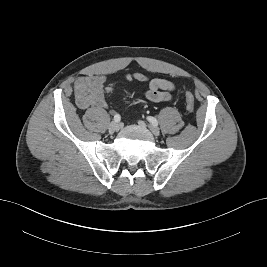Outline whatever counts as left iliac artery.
<instances>
[{
	"mask_svg": "<svg viewBox=\"0 0 267 267\" xmlns=\"http://www.w3.org/2000/svg\"><path fill=\"white\" fill-rule=\"evenodd\" d=\"M147 120L153 125V126H158V121L156 118L152 117V116H148Z\"/></svg>",
	"mask_w": 267,
	"mask_h": 267,
	"instance_id": "1",
	"label": "left iliac artery"
}]
</instances>
